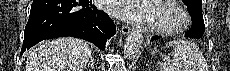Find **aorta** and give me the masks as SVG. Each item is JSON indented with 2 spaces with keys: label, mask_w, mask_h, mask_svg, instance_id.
<instances>
[{
  "label": "aorta",
  "mask_w": 230,
  "mask_h": 71,
  "mask_svg": "<svg viewBox=\"0 0 230 71\" xmlns=\"http://www.w3.org/2000/svg\"><path fill=\"white\" fill-rule=\"evenodd\" d=\"M143 44V36L138 31L131 32L124 43V54L131 60L136 58Z\"/></svg>",
  "instance_id": "762f6f07"
}]
</instances>
